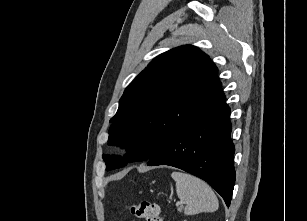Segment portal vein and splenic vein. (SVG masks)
Returning <instances> with one entry per match:
<instances>
[{"instance_id":"18ae733b","label":"portal vein and splenic vein","mask_w":307,"mask_h":221,"mask_svg":"<svg viewBox=\"0 0 307 221\" xmlns=\"http://www.w3.org/2000/svg\"><path fill=\"white\" fill-rule=\"evenodd\" d=\"M182 205L181 201L176 202V206Z\"/></svg>"}]
</instances>
